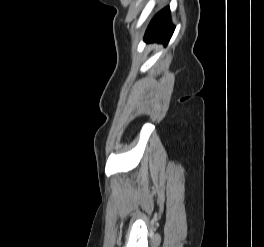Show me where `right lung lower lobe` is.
Masks as SVG:
<instances>
[{
  "label": "right lung lower lobe",
  "instance_id": "right-lung-lower-lobe-1",
  "mask_svg": "<svg viewBox=\"0 0 264 247\" xmlns=\"http://www.w3.org/2000/svg\"><path fill=\"white\" fill-rule=\"evenodd\" d=\"M174 26L170 21L169 7L161 10L151 21L144 39L167 44L173 34Z\"/></svg>",
  "mask_w": 264,
  "mask_h": 247
}]
</instances>
